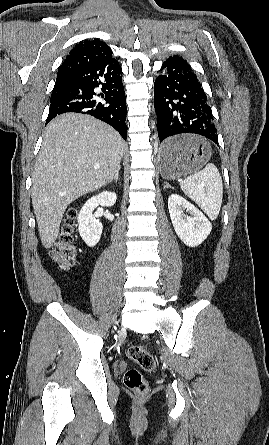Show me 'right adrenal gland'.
<instances>
[{
    "instance_id": "right-adrenal-gland-1",
    "label": "right adrenal gland",
    "mask_w": 269,
    "mask_h": 445,
    "mask_svg": "<svg viewBox=\"0 0 269 445\" xmlns=\"http://www.w3.org/2000/svg\"><path fill=\"white\" fill-rule=\"evenodd\" d=\"M119 171H120V167L117 169L115 175H114L113 178L110 180V182H113V181L117 182V181H118V179H119Z\"/></svg>"
}]
</instances>
